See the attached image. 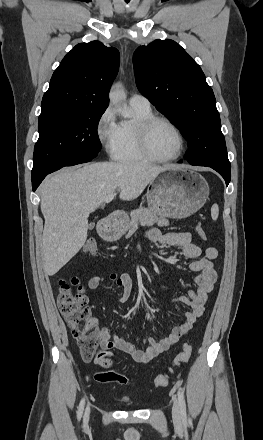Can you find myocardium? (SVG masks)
<instances>
[{
	"label": "myocardium",
	"mask_w": 263,
	"mask_h": 440,
	"mask_svg": "<svg viewBox=\"0 0 263 440\" xmlns=\"http://www.w3.org/2000/svg\"><path fill=\"white\" fill-rule=\"evenodd\" d=\"M157 122H165L176 132L179 138V149L174 156L159 157L151 152L148 142V135L152 126ZM134 132L139 152L149 161L161 163L172 162L179 159L185 150L186 140L183 132L170 118L166 116L151 115L149 117L140 119L135 123Z\"/></svg>",
	"instance_id": "myocardium-1"
}]
</instances>
